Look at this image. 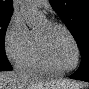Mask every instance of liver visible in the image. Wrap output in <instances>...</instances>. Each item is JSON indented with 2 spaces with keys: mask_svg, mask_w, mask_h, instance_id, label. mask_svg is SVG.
<instances>
[{
  "mask_svg": "<svg viewBox=\"0 0 89 89\" xmlns=\"http://www.w3.org/2000/svg\"><path fill=\"white\" fill-rule=\"evenodd\" d=\"M78 84L65 80H41L19 72H1V89H78Z\"/></svg>",
  "mask_w": 89,
  "mask_h": 89,
  "instance_id": "1",
  "label": "liver"
}]
</instances>
